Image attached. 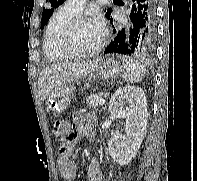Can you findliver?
Masks as SVG:
<instances>
[{
    "instance_id": "1",
    "label": "liver",
    "mask_w": 197,
    "mask_h": 181,
    "mask_svg": "<svg viewBox=\"0 0 197 181\" xmlns=\"http://www.w3.org/2000/svg\"><path fill=\"white\" fill-rule=\"evenodd\" d=\"M94 61L82 63H61L44 69L38 80V95L45 100L54 88L75 82L88 76L93 68Z\"/></svg>"
}]
</instances>
